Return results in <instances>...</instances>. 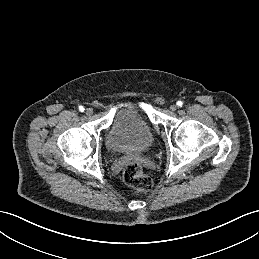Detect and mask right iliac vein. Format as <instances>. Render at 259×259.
Returning a JSON list of instances; mask_svg holds the SVG:
<instances>
[{"instance_id": "63e3f726", "label": "right iliac vein", "mask_w": 259, "mask_h": 259, "mask_svg": "<svg viewBox=\"0 0 259 259\" xmlns=\"http://www.w3.org/2000/svg\"><path fill=\"white\" fill-rule=\"evenodd\" d=\"M86 115L91 116L93 114V110L91 108L86 109Z\"/></svg>"}]
</instances>
